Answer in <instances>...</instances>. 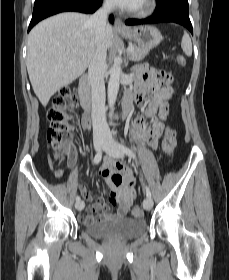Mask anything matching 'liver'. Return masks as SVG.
<instances>
[{
	"label": "liver",
	"mask_w": 229,
	"mask_h": 280,
	"mask_svg": "<svg viewBox=\"0 0 229 280\" xmlns=\"http://www.w3.org/2000/svg\"><path fill=\"white\" fill-rule=\"evenodd\" d=\"M89 19L80 13H61L40 22L30 31L27 71L44 107L58 90L80 77L89 66L96 49L95 31ZM112 41L113 29L107 25L102 37L106 51Z\"/></svg>",
	"instance_id": "obj_1"
}]
</instances>
